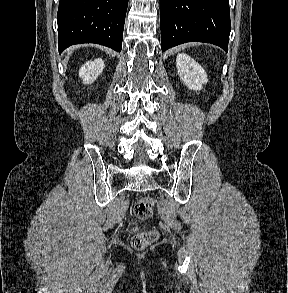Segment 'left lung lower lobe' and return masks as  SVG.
<instances>
[{
  "instance_id": "left-lung-lower-lobe-1",
  "label": "left lung lower lobe",
  "mask_w": 288,
  "mask_h": 293,
  "mask_svg": "<svg viewBox=\"0 0 288 293\" xmlns=\"http://www.w3.org/2000/svg\"><path fill=\"white\" fill-rule=\"evenodd\" d=\"M161 48L198 41L226 52L231 30L229 0H160Z\"/></svg>"
}]
</instances>
